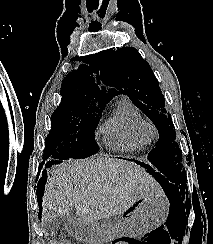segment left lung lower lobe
Masks as SVG:
<instances>
[{
    "mask_svg": "<svg viewBox=\"0 0 213 244\" xmlns=\"http://www.w3.org/2000/svg\"><path fill=\"white\" fill-rule=\"evenodd\" d=\"M151 163L157 168V171L152 170L150 165H146L145 163H142V165L147 167L149 170H152L153 174L155 175V177L161 184L164 183V184H169V185L173 186V184L169 181L168 176L165 174L166 173L165 168L161 164H159L155 161H151Z\"/></svg>",
    "mask_w": 213,
    "mask_h": 244,
    "instance_id": "0a47b994",
    "label": "left lung lower lobe"
}]
</instances>
